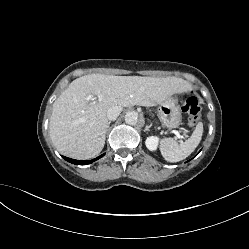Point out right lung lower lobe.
<instances>
[{
	"instance_id": "1",
	"label": "right lung lower lobe",
	"mask_w": 249,
	"mask_h": 249,
	"mask_svg": "<svg viewBox=\"0 0 249 249\" xmlns=\"http://www.w3.org/2000/svg\"><path fill=\"white\" fill-rule=\"evenodd\" d=\"M102 156H104V154L98 156L97 158L95 159H92V160H88V161H79V160H74V159H71V158H67V157H64L62 156L66 161L72 163V164H76V165H86V164H90L92 162H94L95 160H98L99 158H101Z\"/></svg>"
}]
</instances>
